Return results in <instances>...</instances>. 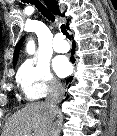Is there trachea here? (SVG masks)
<instances>
[{
    "instance_id": "1",
    "label": "trachea",
    "mask_w": 117,
    "mask_h": 136,
    "mask_svg": "<svg viewBox=\"0 0 117 136\" xmlns=\"http://www.w3.org/2000/svg\"><path fill=\"white\" fill-rule=\"evenodd\" d=\"M24 2L31 3L32 5H35V7L38 9L41 14L46 17L48 20H51L52 22L55 21V17L51 14V12L38 0H25ZM61 32L69 39L71 40V36L67 31V27L65 25L61 26Z\"/></svg>"
}]
</instances>
